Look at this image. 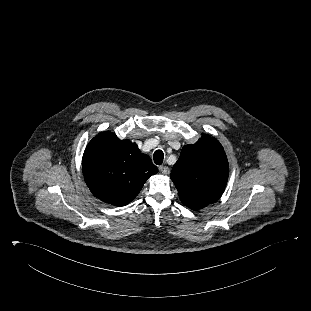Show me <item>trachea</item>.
<instances>
[{"label":"trachea","instance_id":"obj_1","mask_svg":"<svg viewBox=\"0 0 311 311\" xmlns=\"http://www.w3.org/2000/svg\"><path fill=\"white\" fill-rule=\"evenodd\" d=\"M155 164L161 165L164 159V154L161 150H156L153 155Z\"/></svg>","mask_w":311,"mask_h":311}]
</instances>
